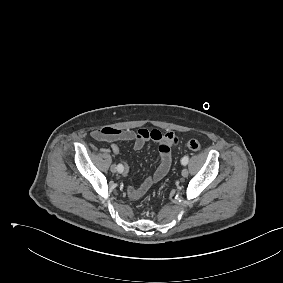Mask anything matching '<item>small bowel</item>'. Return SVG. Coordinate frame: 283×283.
<instances>
[{"instance_id": "small-bowel-1", "label": "small bowel", "mask_w": 283, "mask_h": 283, "mask_svg": "<svg viewBox=\"0 0 283 283\" xmlns=\"http://www.w3.org/2000/svg\"><path fill=\"white\" fill-rule=\"evenodd\" d=\"M92 137L97 141L109 142L111 151L118 155L120 152L117 142L130 141L135 150L142 149L149 141H155L159 144L160 164L155 172L147 177L139 187H127V194L130 199L137 200L141 198L147 190L155 183L160 181L169 171L172 158V149L177 142V136L171 131L161 132L159 130H148L145 128L137 131L130 129H117L112 127H103L92 132ZM124 164V175H129V167Z\"/></svg>"}]
</instances>
